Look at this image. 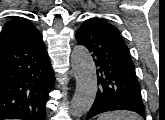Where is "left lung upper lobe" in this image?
<instances>
[{
	"instance_id": "left-lung-upper-lobe-1",
	"label": "left lung upper lobe",
	"mask_w": 165,
	"mask_h": 120,
	"mask_svg": "<svg viewBox=\"0 0 165 120\" xmlns=\"http://www.w3.org/2000/svg\"><path fill=\"white\" fill-rule=\"evenodd\" d=\"M96 19L100 22V24H102V26L105 29H107L108 31H110V32H112V33H114L116 35L121 36L119 30L116 27H114L113 25H111L110 23H108V22H106V21H104L102 19H99V18H96Z\"/></svg>"
}]
</instances>
